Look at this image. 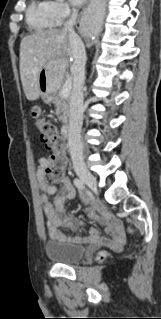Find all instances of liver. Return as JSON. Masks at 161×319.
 <instances>
[{
  "label": "liver",
  "instance_id": "liver-1",
  "mask_svg": "<svg viewBox=\"0 0 161 319\" xmlns=\"http://www.w3.org/2000/svg\"><path fill=\"white\" fill-rule=\"evenodd\" d=\"M71 56L69 34L61 29L24 37L20 43V77L26 98L30 101L39 98V73L48 62L58 61L65 71L67 58Z\"/></svg>",
  "mask_w": 161,
  "mask_h": 319
}]
</instances>
